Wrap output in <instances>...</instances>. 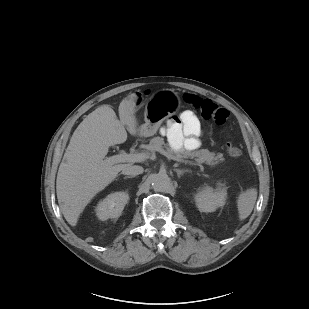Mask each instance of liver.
Masks as SVG:
<instances>
[{"label":"liver","mask_w":309,"mask_h":309,"mask_svg":"<svg viewBox=\"0 0 309 309\" xmlns=\"http://www.w3.org/2000/svg\"><path fill=\"white\" fill-rule=\"evenodd\" d=\"M135 100L136 95H131L120 103V120L111 107L104 105L90 113L74 131L56 179L58 203L71 226H76L93 197L131 165H106L103 159L110 146L127 140V131L136 135Z\"/></svg>","instance_id":"liver-1"}]
</instances>
